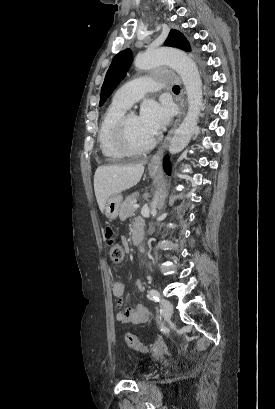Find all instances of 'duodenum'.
Returning a JSON list of instances; mask_svg holds the SVG:
<instances>
[{"label": "duodenum", "instance_id": "obj_1", "mask_svg": "<svg viewBox=\"0 0 275 409\" xmlns=\"http://www.w3.org/2000/svg\"><path fill=\"white\" fill-rule=\"evenodd\" d=\"M144 228L141 222H137L134 224L133 232H132V241L134 244H139L143 238Z\"/></svg>", "mask_w": 275, "mask_h": 409}]
</instances>
